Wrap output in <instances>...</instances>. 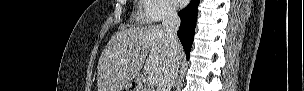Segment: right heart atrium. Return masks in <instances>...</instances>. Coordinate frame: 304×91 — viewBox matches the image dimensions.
<instances>
[{"instance_id":"right-heart-atrium-1","label":"right heart atrium","mask_w":304,"mask_h":91,"mask_svg":"<svg viewBox=\"0 0 304 91\" xmlns=\"http://www.w3.org/2000/svg\"><path fill=\"white\" fill-rule=\"evenodd\" d=\"M142 19L158 22L175 15V9L168 0H142Z\"/></svg>"}]
</instances>
